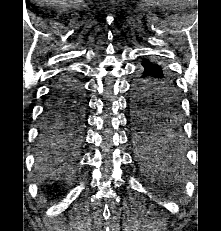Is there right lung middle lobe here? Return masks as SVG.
Instances as JSON below:
<instances>
[{
    "label": "right lung middle lobe",
    "instance_id": "right-lung-middle-lobe-1",
    "mask_svg": "<svg viewBox=\"0 0 221 231\" xmlns=\"http://www.w3.org/2000/svg\"><path fill=\"white\" fill-rule=\"evenodd\" d=\"M84 108L85 98L47 107L41 121V145L51 149L76 142L81 135Z\"/></svg>",
    "mask_w": 221,
    "mask_h": 231
}]
</instances>
